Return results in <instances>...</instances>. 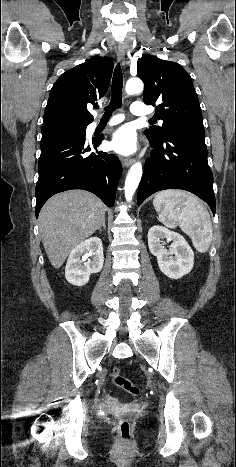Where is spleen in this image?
<instances>
[{"instance_id": "3e777b00", "label": "spleen", "mask_w": 236, "mask_h": 467, "mask_svg": "<svg viewBox=\"0 0 236 467\" xmlns=\"http://www.w3.org/2000/svg\"><path fill=\"white\" fill-rule=\"evenodd\" d=\"M153 205L165 226L172 229L179 226L197 251L207 252L212 242V223L197 197L181 190H164L155 195Z\"/></svg>"}]
</instances>
